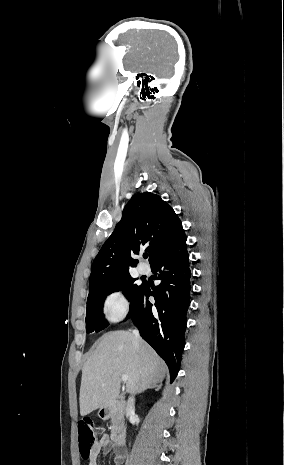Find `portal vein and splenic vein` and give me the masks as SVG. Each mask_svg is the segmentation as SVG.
Here are the masks:
<instances>
[{
	"label": "portal vein and splenic vein",
	"mask_w": 284,
	"mask_h": 465,
	"mask_svg": "<svg viewBox=\"0 0 284 465\" xmlns=\"http://www.w3.org/2000/svg\"><path fill=\"white\" fill-rule=\"evenodd\" d=\"M121 379H122V381H124V383H127V381H128L127 375H122Z\"/></svg>",
	"instance_id": "18ae733b"
}]
</instances>
